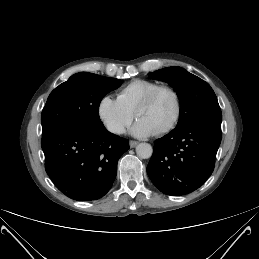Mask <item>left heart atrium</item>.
<instances>
[{
    "label": "left heart atrium",
    "mask_w": 259,
    "mask_h": 259,
    "mask_svg": "<svg viewBox=\"0 0 259 259\" xmlns=\"http://www.w3.org/2000/svg\"><path fill=\"white\" fill-rule=\"evenodd\" d=\"M133 133L140 137H146L153 132L146 123L138 121L133 127Z\"/></svg>",
    "instance_id": "left-heart-atrium-1"
}]
</instances>
